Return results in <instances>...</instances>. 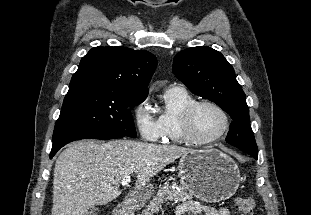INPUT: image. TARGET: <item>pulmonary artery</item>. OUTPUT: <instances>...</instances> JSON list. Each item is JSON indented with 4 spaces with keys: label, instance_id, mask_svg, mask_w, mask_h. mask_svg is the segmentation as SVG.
Instances as JSON below:
<instances>
[{
    "label": "pulmonary artery",
    "instance_id": "1",
    "mask_svg": "<svg viewBox=\"0 0 311 215\" xmlns=\"http://www.w3.org/2000/svg\"><path fill=\"white\" fill-rule=\"evenodd\" d=\"M170 88H177V89H184L182 86L180 85H173Z\"/></svg>",
    "mask_w": 311,
    "mask_h": 215
}]
</instances>
